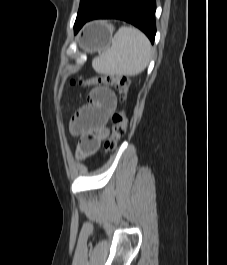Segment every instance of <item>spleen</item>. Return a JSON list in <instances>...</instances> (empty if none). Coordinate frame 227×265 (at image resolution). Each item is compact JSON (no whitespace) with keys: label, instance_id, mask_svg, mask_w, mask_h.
Returning <instances> with one entry per match:
<instances>
[{"label":"spleen","instance_id":"spleen-1","mask_svg":"<svg viewBox=\"0 0 227 265\" xmlns=\"http://www.w3.org/2000/svg\"><path fill=\"white\" fill-rule=\"evenodd\" d=\"M111 43L92 61V67L97 73L136 76L149 64L152 46L140 30L122 26Z\"/></svg>","mask_w":227,"mask_h":265}]
</instances>
